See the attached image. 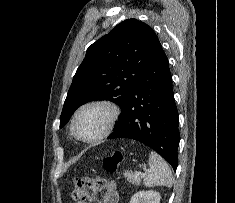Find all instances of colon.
<instances>
[{
	"instance_id": "5ec220e1",
	"label": "colon",
	"mask_w": 235,
	"mask_h": 203,
	"mask_svg": "<svg viewBox=\"0 0 235 203\" xmlns=\"http://www.w3.org/2000/svg\"><path fill=\"white\" fill-rule=\"evenodd\" d=\"M123 160L121 152L117 151L104 159L103 165L107 172H115ZM104 182L100 178L79 177L74 181L73 198L79 203L95 199L103 190Z\"/></svg>"
}]
</instances>
